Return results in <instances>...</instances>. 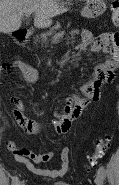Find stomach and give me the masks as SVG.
Returning a JSON list of instances; mask_svg holds the SVG:
<instances>
[{
	"mask_svg": "<svg viewBox=\"0 0 119 185\" xmlns=\"http://www.w3.org/2000/svg\"><path fill=\"white\" fill-rule=\"evenodd\" d=\"M105 10L106 4L104 0H86L81 15L86 18H95L103 14Z\"/></svg>",
	"mask_w": 119,
	"mask_h": 185,
	"instance_id": "stomach-1",
	"label": "stomach"
}]
</instances>
